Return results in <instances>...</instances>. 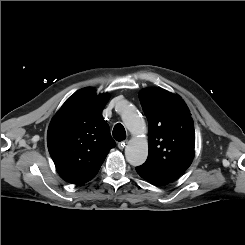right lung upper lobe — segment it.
I'll use <instances>...</instances> for the list:
<instances>
[{"mask_svg":"<svg viewBox=\"0 0 245 245\" xmlns=\"http://www.w3.org/2000/svg\"><path fill=\"white\" fill-rule=\"evenodd\" d=\"M107 93L96 95L93 88L74 93L52 119L47 145L57 172L66 182L80 185L99 171L116 143L101 112Z\"/></svg>","mask_w":245,"mask_h":245,"instance_id":"right-lung-upper-lobe-1","label":"right lung upper lobe"}]
</instances>
